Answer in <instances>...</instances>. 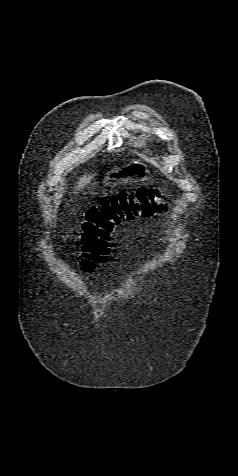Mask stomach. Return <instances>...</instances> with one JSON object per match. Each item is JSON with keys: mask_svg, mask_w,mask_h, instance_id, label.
I'll use <instances>...</instances> for the list:
<instances>
[{"mask_svg": "<svg viewBox=\"0 0 238 476\" xmlns=\"http://www.w3.org/2000/svg\"><path fill=\"white\" fill-rule=\"evenodd\" d=\"M142 164H129L126 168H121L113 170L107 174L105 180L107 183H120L126 182L130 179L132 173H142L143 172Z\"/></svg>", "mask_w": 238, "mask_h": 476, "instance_id": "0dacf381", "label": "stomach"}]
</instances>
